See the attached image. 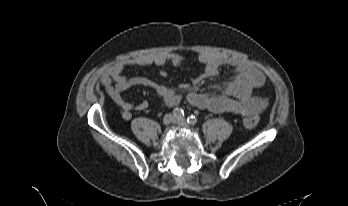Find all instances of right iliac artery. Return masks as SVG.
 Instances as JSON below:
<instances>
[{
	"label": "right iliac artery",
	"mask_w": 348,
	"mask_h": 206,
	"mask_svg": "<svg viewBox=\"0 0 348 206\" xmlns=\"http://www.w3.org/2000/svg\"><path fill=\"white\" fill-rule=\"evenodd\" d=\"M173 114L176 118L181 119L184 116V111L181 108H175Z\"/></svg>",
	"instance_id": "1"
}]
</instances>
